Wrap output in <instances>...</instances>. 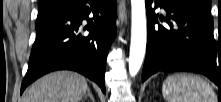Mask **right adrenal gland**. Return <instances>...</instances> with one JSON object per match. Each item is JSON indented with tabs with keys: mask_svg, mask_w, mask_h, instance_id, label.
I'll return each instance as SVG.
<instances>
[{
	"mask_svg": "<svg viewBox=\"0 0 221 102\" xmlns=\"http://www.w3.org/2000/svg\"><path fill=\"white\" fill-rule=\"evenodd\" d=\"M87 97H90V99L92 100V102L95 101V100H94V97H93V95L91 94V92H90L89 89L87 90V95H86L84 98H87Z\"/></svg>",
	"mask_w": 221,
	"mask_h": 102,
	"instance_id": "1",
	"label": "right adrenal gland"
}]
</instances>
